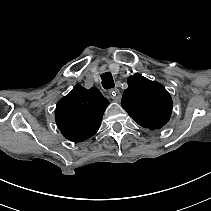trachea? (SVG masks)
<instances>
[{
	"mask_svg": "<svg viewBox=\"0 0 211 211\" xmlns=\"http://www.w3.org/2000/svg\"><path fill=\"white\" fill-rule=\"evenodd\" d=\"M102 86L105 89H111L115 86L111 72L101 74Z\"/></svg>",
	"mask_w": 211,
	"mask_h": 211,
	"instance_id": "1",
	"label": "trachea"
}]
</instances>
